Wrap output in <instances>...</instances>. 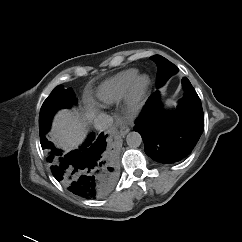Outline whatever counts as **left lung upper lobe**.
Listing matches in <instances>:
<instances>
[{
    "label": "left lung upper lobe",
    "mask_w": 242,
    "mask_h": 242,
    "mask_svg": "<svg viewBox=\"0 0 242 242\" xmlns=\"http://www.w3.org/2000/svg\"><path fill=\"white\" fill-rule=\"evenodd\" d=\"M150 58L156 62L158 67L156 77L157 87L162 86L173 74L178 72V68L166 58L160 55L152 56Z\"/></svg>",
    "instance_id": "left-lung-upper-lobe-1"
}]
</instances>
